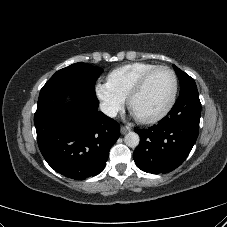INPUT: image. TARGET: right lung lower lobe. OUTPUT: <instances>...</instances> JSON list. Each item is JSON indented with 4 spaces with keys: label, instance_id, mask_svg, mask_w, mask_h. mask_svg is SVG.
Returning a JSON list of instances; mask_svg holds the SVG:
<instances>
[{
    "label": "right lung lower lobe",
    "instance_id": "right-lung-lower-lobe-1",
    "mask_svg": "<svg viewBox=\"0 0 227 227\" xmlns=\"http://www.w3.org/2000/svg\"><path fill=\"white\" fill-rule=\"evenodd\" d=\"M67 95L70 103H65ZM34 124L44 159L75 180L99 174L120 136V125L98 111L96 96L69 84L41 89Z\"/></svg>",
    "mask_w": 227,
    "mask_h": 227
}]
</instances>
